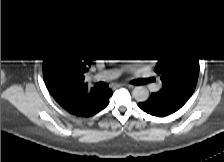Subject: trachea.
<instances>
[{
    "instance_id": "obj_1",
    "label": "trachea",
    "mask_w": 224,
    "mask_h": 162,
    "mask_svg": "<svg viewBox=\"0 0 224 162\" xmlns=\"http://www.w3.org/2000/svg\"><path fill=\"white\" fill-rule=\"evenodd\" d=\"M97 86H98L99 88H107V87H108V84H107V83H104V82H99V83L97 84Z\"/></svg>"
}]
</instances>
